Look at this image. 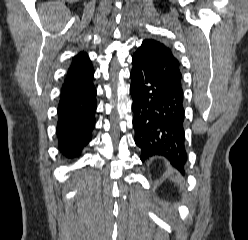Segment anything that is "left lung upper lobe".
I'll return each mask as SVG.
<instances>
[{
  "instance_id": "obj_1",
  "label": "left lung upper lobe",
  "mask_w": 248,
  "mask_h": 240,
  "mask_svg": "<svg viewBox=\"0 0 248 240\" xmlns=\"http://www.w3.org/2000/svg\"><path fill=\"white\" fill-rule=\"evenodd\" d=\"M133 56H137L146 61L182 90L180 63L174 56L172 50L164 43L154 39H145Z\"/></svg>"
}]
</instances>
